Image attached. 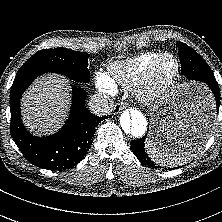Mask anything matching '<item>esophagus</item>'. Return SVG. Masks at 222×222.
<instances>
[{"instance_id": "34e87169", "label": "esophagus", "mask_w": 222, "mask_h": 222, "mask_svg": "<svg viewBox=\"0 0 222 222\" xmlns=\"http://www.w3.org/2000/svg\"><path fill=\"white\" fill-rule=\"evenodd\" d=\"M125 108V104L122 102H119L115 105L114 109H113V113L114 114H118L122 109Z\"/></svg>"}]
</instances>
